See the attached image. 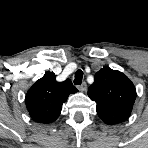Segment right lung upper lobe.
<instances>
[{"instance_id":"right-lung-upper-lobe-1","label":"right lung upper lobe","mask_w":148,"mask_h":148,"mask_svg":"<svg viewBox=\"0 0 148 148\" xmlns=\"http://www.w3.org/2000/svg\"><path fill=\"white\" fill-rule=\"evenodd\" d=\"M77 92L70 79L57 82L55 74L47 72L28 90L25 98L31 118L40 123H51L61 113L63 103Z\"/></svg>"}]
</instances>
